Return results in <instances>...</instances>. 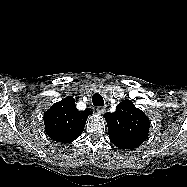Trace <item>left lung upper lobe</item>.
<instances>
[{
    "label": "left lung upper lobe",
    "mask_w": 187,
    "mask_h": 187,
    "mask_svg": "<svg viewBox=\"0 0 187 187\" xmlns=\"http://www.w3.org/2000/svg\"><path fill=\"white\" fill-rule=\"evenodd\" d=\"M104 117L110 141L119 149H135L148 137V117L128 99L118 104L114 113H106Z\"/></svg>",
    "instance_id": "obj_1"
}]
</instances>
